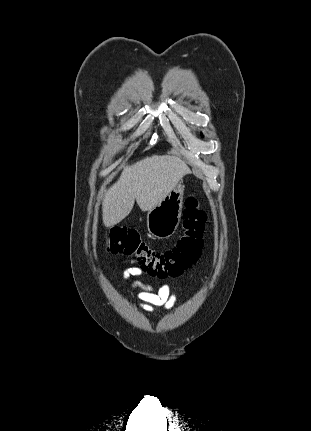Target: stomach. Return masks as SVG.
<instances>
[{"label": "stomach", "instance_id": "1", "mask_svg": "<svg viewBox=\"0 0 311 431\" xmlns=\"http://www.w3.org/2000/svg\"><path fill=\"white\" fill-rule=\"evenodd\" d=\"M184 188L179 182L156 208L147 212V229L153 237L167 239L175 233L182 217Z\"/></svg>", "mask_w": 311, "mask_h": 431}]
</instances>
